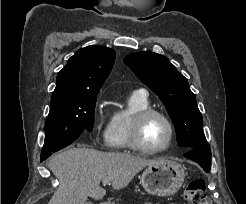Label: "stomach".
Returning a JSON list of instances; mask_svg holds the SVG:
<instances>
[{"instance_id":"0dacf381","label":"stomach","mask_w":246,"mask_h":204,"mask_svg":"<svg viewBox=\"0 0 246 204\" xmlns=\"http://www.w3.org/2000/svg\"><path fill=\"white\" fill-rule=\"evenodd\" d=\"M184 178L185 170L180 163L160 159L144 170L141 175V183L148 194L167 197L179 191Z\"/></svg>"}]
</instances>
